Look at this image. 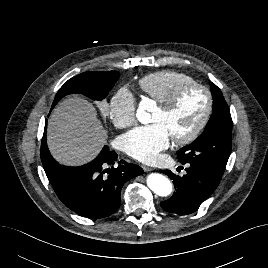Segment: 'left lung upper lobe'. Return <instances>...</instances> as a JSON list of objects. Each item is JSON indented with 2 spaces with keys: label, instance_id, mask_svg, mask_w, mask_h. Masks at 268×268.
<instances>
[{
  "label": "left lung upper lobe",
  "instance_id": "left-lung-upper-lobe-1",
  "mask_svg": "<svg viewBox=\"0 0 268 268\" xmlns=\"http://www.w3.org/2000/svg\"><path fill=\"white\" fill-rule=\"evenodd\" d=\"M213 112L204 132L190 145L177 151L182 164L208 166L223 175L232 148V119L221 90L210 84Z\"/></svg>",
  "mask_w": 268,
  "mask_h": 268
}]
</instances>
